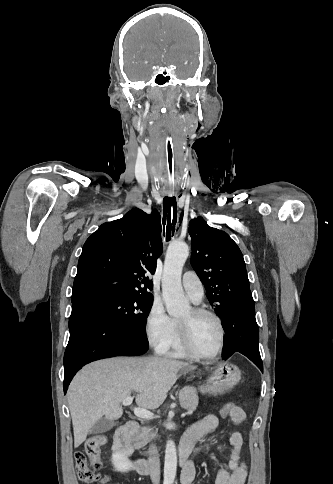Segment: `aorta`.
<instances>
[{
  "mask_svg": "<svg viewBox=\"0 0 333 484\" xmlns=\"http://www.w3.org/2000/svg\"><path fill=\"white\" fill-rule=\"evenodd\" d=\"M188 255L189 247L184 242L171 244L166 253L162 276V295L170 316L182 315L189 309V302L183 293L181 284L182 268ZM176 470V446L172 440H168L165 449L164 484H174Z\"/></svg>",
  "mask_w": 333,
  "mask_h": 484,
  "instance_id": "762f6f07",
  "label": "aorta"
}]
</instances>
